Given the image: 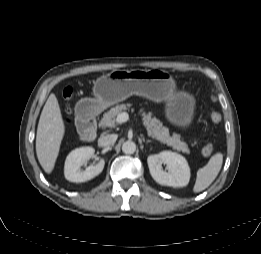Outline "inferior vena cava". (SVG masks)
I'll list each match as a JSON object with an SVG mask.
<instances>
[{
	"instance_id": "1",
	"label": "inferior vena cava",
	"mask_w": 261,
	"mask_h": 254,
	"mask_svg": "<svg viewBox=\"0 0 261 254\" xmlns=\"http://www.w3.org/2000/svg\"><path fill=\"white\" fill-rule=\"evenodd\" d=\"M117 140L116 134H102L98 139V145L101 147H106L113 145Z\"/></svg>"
}]
</instances>
